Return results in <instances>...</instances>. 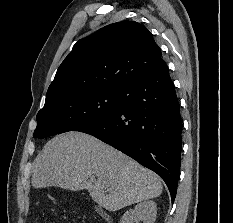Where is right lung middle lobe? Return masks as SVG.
<instances>
[{
	"instance_id": "obj_1",
	"label": "right lung middle lobe",
	"mask_w": 233,
	"mask_h": 223,
	"mask_svg": "<svg viewBox=\"0 0 233 223\" xmlns=\"http://www.w3.org/2000/svg\"><path fill=\"white\" fill-rule=\"evenodd\" d=\"M119 95L118 88L101 87L49 101L37 114V128L33 137L45 138L67 131H78L117 111Z\"/></svg>"
}]
</instances>
